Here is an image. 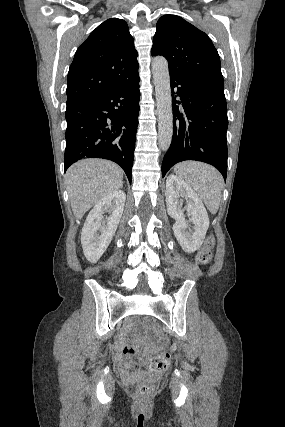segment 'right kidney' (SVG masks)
Returning <instances> with one entry per match:
<instances>
[{
	"label": "right kidney",
	"instance_id": "obj_1",
	"mask_svg": "<svg viewBox=\"0 0 285 427\" xmlns=\"http://www.w3.org/2000/svg\"><path fill=\"white\" fill-rule=\"evenodd\" d=\"M125 200L124 191H115L90 211L81 233V244L88 261L97 262L109 246L120 222ZM105 213L109 216L104 217Z\"/></svg>",
	"mask_w": 285,
	"mask_h": 427
}]
</instances>
